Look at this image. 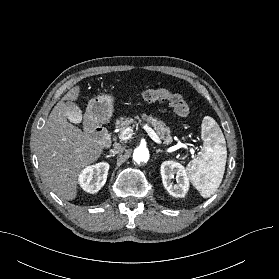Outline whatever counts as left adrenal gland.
Returning a JSON list of instances; mask_svg holds the SVG:
<instances>
[{"mask_svg":"<svg viewBox=\"0 0 279 279\" xmlns=\"http://www.w3.org/2000/svg\"><path fill=\"white\" fill-rule=\"evenodd\" d=\"M163 152V150L157 149L156 153Z\"/></svg>","mask_w":279,"mask_h":279,"instance_id":"1","label":"left adrenal gland"}]
</instances>
